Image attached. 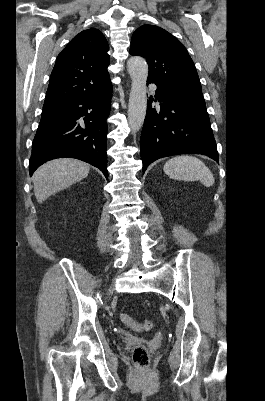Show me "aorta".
Here are the masks:
<instances>
[{"mask_svg": "<svg viewBox=\"0 0 265 401\" xmlns=\"http://www.w3.org/2000/svg\"><path fill=\"white\" fill-rule=\"evenodd\" d=\"M127 70L132 80L128 104V124L132 132H137L142 128L146 114L148 64L141 56H132L127 62Z\"/></svg>", "mask_w": 265, "mask_h": 401, "instance_id": "1", "label": "aorta"}]
</instances>
